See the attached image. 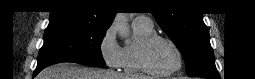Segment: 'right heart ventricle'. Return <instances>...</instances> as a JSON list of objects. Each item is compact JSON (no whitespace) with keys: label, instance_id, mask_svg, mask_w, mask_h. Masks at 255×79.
<instances>
[{"label":"right heart ventricle","instance_id":"e07e8e85","mask_svg":"<svg viewBox=\"0 0 255 79\" xmlns=\"http://www.w3.org/2000/svg\"><path fill=\"white\" fill-rule=\"evenodd\" d=\"M134 42L122 48V69L126 74L138 75L144 71L141 69L138 53L141 44L153 33V27L132 25Z\"/></svg>","mask_w":255,"mask_h":79}]
</instances>
